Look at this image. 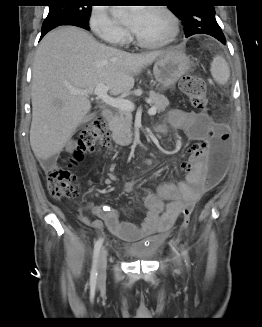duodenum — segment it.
Segmentation results:
<instances>
[{
  "label": "duodenum",
  "instance_id": "410a0bca",
  "mask_svg": "<svg viewBox=\"0 0 262 327\" xmlns=\"http://www.w3.org/2000/svg\"><path fill=\"white\" fill-rule=\"evenodd\" d=\"M102 117H103V119L105 120V122H106L107 124H111V122H112V118H113V113H112V111L109 110V109H104V110L102 111ZM139 152H141L140 149L137 151V153H139Z\"/></svg>",
  "mask_w": 262,
  "mask_h": 327
}]
</instances>
